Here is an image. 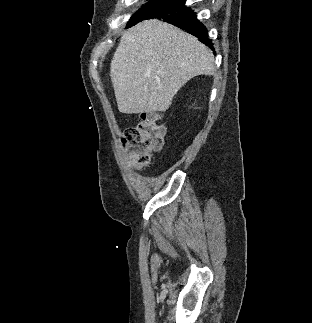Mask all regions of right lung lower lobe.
Returning a JSON list of instances; mask_svg holds the SVG:
<instances>
[{
    "mask_svg": "<svg viewBox=\"0 0 312 323\" xmlns=\"http://www.w3.org/2000/svg\"><path fill=\"white\" fill-rule=\"evenodd\" d=\"M160 19L188 31L192 35L198 37L201 42L205 43L212 48V50H214L211 40L208 39L207 29L196 19V14L189 8L163 16Z\"/></svg>",
    "mask_w": 312,
    "mask_h": 323,
    "instance_id": "1",
    "label": "right lung lower lobe"
}]
</instances>
